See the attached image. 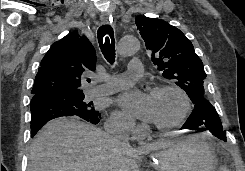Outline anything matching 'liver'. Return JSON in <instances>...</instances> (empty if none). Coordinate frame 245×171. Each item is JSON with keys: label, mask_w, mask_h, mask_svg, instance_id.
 <instances>
[{"label": "liver", "mask_w": 245, "mask_h": 171, "mask_svg": "<svg viewBox=\"0 0 245 171\" xmlns=\"http://www.w3.org/2000/svg\"><path fill=\"white\" fill-rule=\"evenodd\" d=\"M165 139L134 148L76 119L48 122L36 135L27 171H139L143 154L172 144Z\"/></svg>", "instance_id": "6515ba94"}]
</instances>
